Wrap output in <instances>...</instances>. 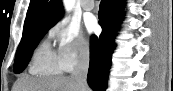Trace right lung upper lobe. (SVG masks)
I'll list each match as a JSON object with an SVG mask.
<instances>
[{
    "label": "right lung upper lobe",
    "instance_id": "right-lung-upper-lobe-1",
    "mask_svg": "<svg viewBox=\"0 0 173 91\" xmlns=\"http://www.w3.org/2000/svg\"><path fill=\"white\" fill-rule=\"evenodd\" d=\"M63 15L61 0H31L23 32L41 25H55Z\"/></svg>",
    "mask_w": 173,
    "mask_h": 91
}]
</instances>
